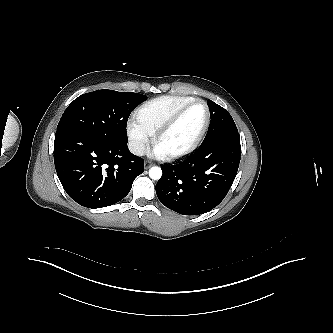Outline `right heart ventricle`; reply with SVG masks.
Instances as JSON below:
<instances>
[{"label": "right heart ventricle", "mask_w": 333, "mask_h": 333, "mask_svg": "<svg viewBox=\"0 0 333 333\" xmlns=\"http://www.w3.org/2000/svg\"><path fill=\"white\" fill-rule=\"evenodd\" d=\"M193 99L180 95L160 96L142 104L137 109L135 117L153 135L177 109Z\"/></svg>", "instance_id": "obj_1"}]
</instances>
